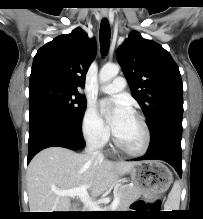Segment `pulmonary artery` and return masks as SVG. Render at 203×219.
<instances>
[{"mask_svg": "<svg viewBox=\"0 0 203 219\" xmlns=\"http://www.w3.org/2000/svg\"><path fill=\"white\" fill-rule=\"evenodd\" d=\"M126 86V80L123 77H116L112 83L103 85L101 91L107 94H115L124 90Z\"/></svg>", "mask_w": 203, "mask_h": 219, "instance_id": "obj_1", "label": "pulmonary artery"}]
</instances>
